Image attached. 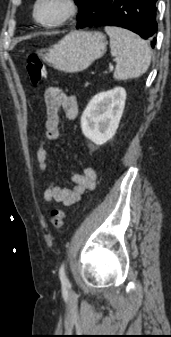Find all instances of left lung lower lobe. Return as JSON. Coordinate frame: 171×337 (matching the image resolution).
Here are the masks:
<instances>
[{
	"mask_svg": "<svg viewBox=\"0 0 171 337\" xmlns=\"http://www.w3.org/2000/svg\"><path fill=\"white\" fill-rule=\"evenodd\" d=\"M157 0H89L78 19L77 28L119 26L156 43Z\"/></svg>",
	"mask_w": 171,
	"mask_h": 337,
	"instance_id": "left-lung-lower-lobe-1",
	"label": "left lung lower lobe"
}]
</instances>
